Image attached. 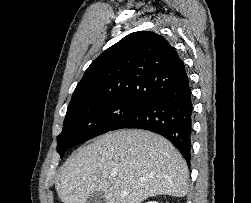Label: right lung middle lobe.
<instances>
[{
	"instance_id": "obj_1",
	"label": "right lung middle lobe",
	"mask_w": 251,
	"mask_h": 203,
	"mask_svg": "<svg viewBox=\"0 0 251 203\" xmlns=\"http://www.w3.org/2000/svg\"><path fill=\"white\" fill-rule=\"evenodd\" d=\"M144 103L131 101H90L69 105L62 133L57 138V151L64 152L104 134Z\"/></svg>"
}]
</instances>
